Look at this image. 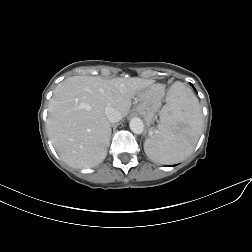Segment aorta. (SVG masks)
<instances>
[{"label":"aorta","mask_w":252,"mask_h":252,"mask_svg":"<svg viewBox=\"0 0 252 252\" xmlns=\"http://www.w3.org/2000/svg\"><path fill=\"white\" fill-rule=\"evenodd\" d=\"M129 126L131 131L135 134H141L144 130V124L140 118H132Z\"/></svg>","instance_id":"1"}]
</instances>
